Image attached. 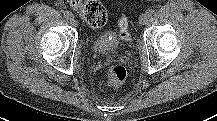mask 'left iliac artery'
<instances>
[{
  "instance_id": "left-iliac-artery-1",
  "label": "left iliac artery",
  "mask_w": 217,
  "mask_h": 121,
  "mask_svg": "<svg viewBox=\"0 0 217 121\" xmlns=\"http://www.w3.org/2000/svg\"><path fill=\"white\" fill-rule=\"evenodd\" d=\"M146 13H147V14H148V16L150 17V16H152V15H153V13H154V10L149 8V9H147Z\"/></svg>"
}]
</instances>
